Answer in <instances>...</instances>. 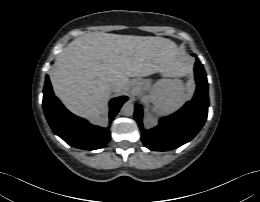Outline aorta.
I'll return each instance as SVG.
<instances>
[{"label":"aorta","mask_w":260,"mask_h":202,"mask_svg":"<svg viewBox=\"0 0 260 202\" xmlns=\"http://www.w3.org/2000/svg\"><path fill=\"white\" fill-rule=\"evenodd\" d=\"M135 110L134 104L130 101H127L123 104V106L121 107V113L124 116H131L133 115Z\"/></svg>","instance_id":"obj_1"}]
</instances>
